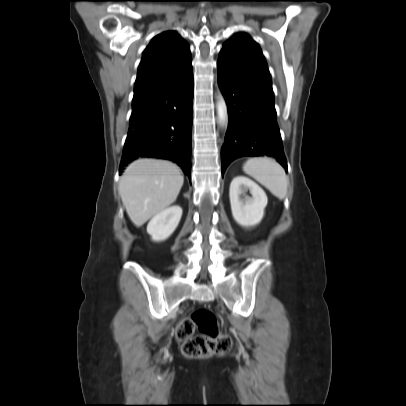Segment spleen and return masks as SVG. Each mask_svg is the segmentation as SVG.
<instances>
[{"instance_id": "spleen-1", "label": "spleen", "mask_w": 406, "mask_h": 406, "mask_svg": "<svg viewBox=\"0 0 406 406\" xmlns=\"http://www.w3.org/2000/svg\"><path fill=\"white\" fill-rule=\"evenodd\" d=\"M243 171L280 200L285 198L289 180L282 166L275 160L268 157L250 158L244 163Z\"/></svg>"}]
</instances>
